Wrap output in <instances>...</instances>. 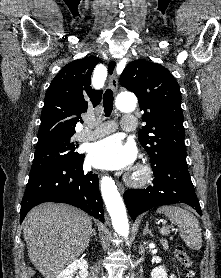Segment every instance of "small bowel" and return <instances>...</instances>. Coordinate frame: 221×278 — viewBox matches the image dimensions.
I'll list each match as a JSON object with an SVG mask.
<instances>
[{
	"instance_id": "small-bowel-1",
	"label": "small bowel",
	"mask_w": 221,
	"mask_h": 278,
	"mask_svg": "<svg viewBox=\"0 0 221 278\" xmlns=\"http://www.w3.org/2000/svg\"><path fill=\"white\" fill-rule=\"evenodd\" d=\"M170 278H176L175 274H172Z\"/></svg>"
}]
</instances>
